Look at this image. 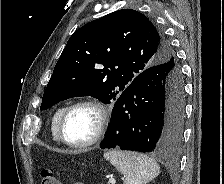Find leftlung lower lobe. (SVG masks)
I'll return each mask as SVG.
<instances>
[{
    "label": "left lung lower lobe",
    "instance_id": "0a47b994",
    "mask_svg": "<svg viewBox=\"0 0 224 184\" xmlns=\"http://www.w3.org/2000/svg\"><path fill=\"white\" fill-rule=\"evenodd\" d=\"M184 123V83L174 61L137 75L116 99L101 149L167 153L176 150Z\"/></svg>",
    "mask_w": 224,
    "mask_h": 184
}]
</instances>
